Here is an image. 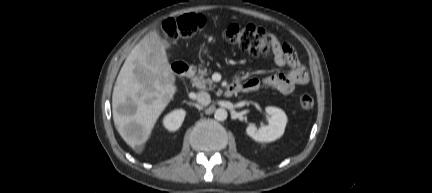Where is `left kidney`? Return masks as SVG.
<instances>
[{
	"mask_svg": "<svg viewBox=\"0 0 432 193\" xmlns=\"http://www.w3.org/2000/svg\"><path fill=\"white\" fill-rule=\"evenodd\" d=\"M266 113L269 115L268 125L262 126L259 129L253 124L246 128V133L252 139L258 142H271L280 138L285 131L287 116L283 110L268 106Z\"/></svg>",
	"mask_w": 432,
	"mask_h": 193,
	"instance_id": "obj_1",
	"label": "left kidney"
}]
</instances>
